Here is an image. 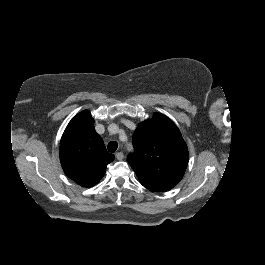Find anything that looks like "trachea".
Segmentation results:
<instances>
[{
	"instance_id": "3493384b",
	"label": "trachea",
	"mask_w": 265,
	"mask_h": 265,
	"mask_svg": "<svg viewBox=\"0 0 265 265\" xmlns=\"http://www.w3.org/2000/svg\"><path fill=\"white\" fill-rule=\"evenodd\" d=\"M118 148V143L115 141H111L108 144V151L114 153Z\"/></svg>"
}]
</instances>
